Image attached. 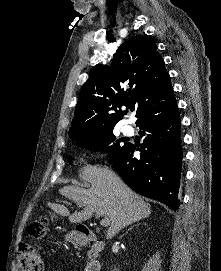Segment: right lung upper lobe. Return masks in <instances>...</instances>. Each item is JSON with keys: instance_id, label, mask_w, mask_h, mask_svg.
Masks as SVG:
<instances>
[{"instance_id": "1", "label": "right lung upper lobe", "mask_w": 221, "mask_h": 271, "mask_svg": "<svg viewBox=\"0 0 221 271\" xmlns=\"http://www.w3.org/2000/svg\"><path fill=\"white\" fill-rule=\"evenodd\" d=\"M175 101L170 76L155 43L138 37L123 43L111 67L98 65L80 91L69 130L72 140L114 128L127 108L138 117L162 110Z\"/></svg>"}]
</instances>
